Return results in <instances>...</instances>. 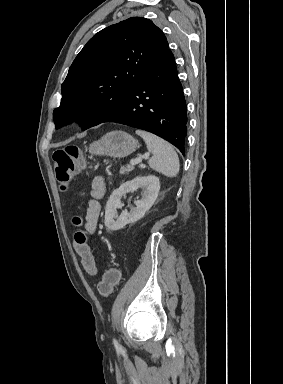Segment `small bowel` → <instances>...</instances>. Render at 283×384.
<instances>
[{"instance_id":"small-bowel-1","label":"small bowel","mask_w":283,"mask_h":384,"mask_svg":"<svg viewBox=\"0 0 283 384\" xmlns=\"http://www.w3.org/2000/svg\"><path fill=\"white\" fill-rule=\"evenodd\" d=\"M105 190V182L102 177H96L92 180L91 198L88 201V208L85 216V229L89 234L95 233L100 214L99 200L104 196ZM74 248L80 257L81 265L84 270L91 275H95L97 273V266L90 246L86 243L79 244L75 241Z\"/></svg>"}]
</instances>
